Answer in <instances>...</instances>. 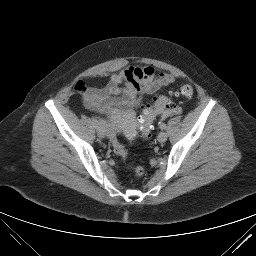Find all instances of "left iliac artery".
I'll list each match as a JSON object with an SVG mask.
<instances>
[{
  "label": "left iliac artery",
  "instance_id": "left-iliac-artery-1",
  "mask_svg": "<svg viewBox=\"0 0 256 256\" xmlns=\"http://www.w3.org/2000/svg\"><path fill=\"white\" fill-rule=\"evenodd\" d=\"M160 128H161L162 130H164V129L166 128V124L161 123V124H160Z\"/></svg>",
  "mask_w": 256,
  "mask_h": 256
}]
</instances>
